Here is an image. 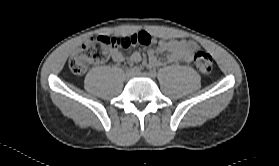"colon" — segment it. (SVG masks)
Wrapping results in <instances>:
<instances>
[{
	"label": "colon",
	"instance_id": "obj_1",
	"mask_svg": "<svg viewBox=\"0 0 279 166\" xmlns=\"http://www.w3.org/2000/svg\"><path fill=\"white\" fill-rule=\"evenodd\" d=\"M137 43L147 44L148 38L144 35L138 38L128 36L91 38L71 56L69 68L74 74H83L90 66L106 61L110 49L127 48ZM194 64L200 72L209 74L213 67V58L208 52L198 51L194 55Z\"/></svg>",
	"mask_w": 279,
	"mask_h": 166
}]
</instances>
